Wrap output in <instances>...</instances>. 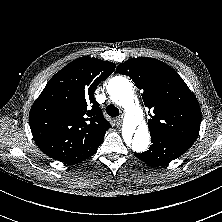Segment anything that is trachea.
<instances>
[{
  "instance_id": "trachea-1",
  "label": "trachea",
  "mask_w": 222,
  "mask_h": 222,
  "mask_svg": "<svg viewBox=\"0 0 222 222\" xmlns=\"http://www.w3.org/2000/svg\"><path fill=\"white\" fill-rule=\"evenodd\" d=\"M106 112L111 117H116L119 115V110L116 106L110 104L106 107Z\"/></svg>"
}]
</instances>
